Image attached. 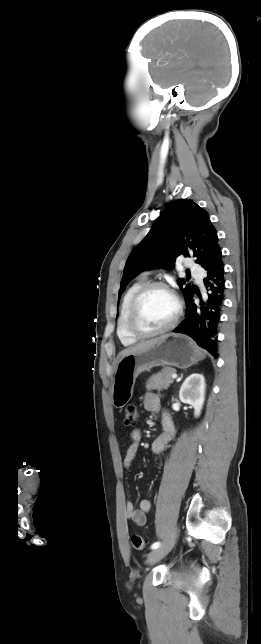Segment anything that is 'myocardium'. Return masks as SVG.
Here are the masks:
<instances>
[{
    "mask_svg": "<svg viewBox=\"0 0 261 644\" xmlns=\"http://www.w3.org/2000/svg\"><path fill=\"white\" fill-rule=\"evenodd\" d=\"M155 288L163 289V290L167 291L168 293H170L173 296V298H174V300L176 302V311H175L173 319L166 326H164V327H162V328H160L158 330H155V331L144 332V331L140 330L138 328V326H137L138 309H139V306H140V303H141L143 297L149 291H151L152 289H155ZM182 309H183V307H182L181 300L179 299V297L177 296L175 291L168 284H166L165 282H162V281H149V282H146L145 284H143L139 288V290L136 292V294L134 295V297H133V299H132V301L130 303L128 314H127V319H126V328H127L128 332H129V334L132 337L136 338L137 340L148 339V338H152V337L167 333V332L171 331L172 329H174L176 327V325L178 324L179 319H180L181 314H182Z\"/></svg>",
    "mask_w": 261,
    "mask_h": 644,
    "instance_id": "1",
    "label": "myocardium"
}]
</instances>
